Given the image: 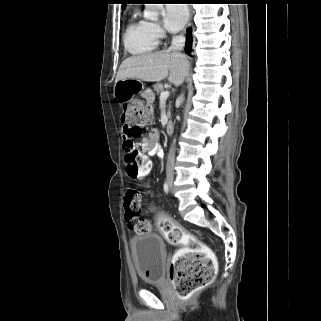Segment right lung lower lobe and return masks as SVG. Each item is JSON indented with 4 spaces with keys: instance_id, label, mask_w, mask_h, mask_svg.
<instances>
[{
    "instance_id": "right-lung-lower-lobe-1",
    "label": "right lung lower lobe",
    "mask_w": 321,
    "mask_h": 321,
    "mask_svg": "<svg viewBox=\"0 0 321 321\" xmlns=\"http://www.w3.org/2000/svg\"><path fill=\"white\" fill-rule=\"evenodd\" d=\"M186 49L188 52L191 51V31H190V29H188V31H187ZM188 52H187V54H188Z\"/></svg>"
}]
</instances>
